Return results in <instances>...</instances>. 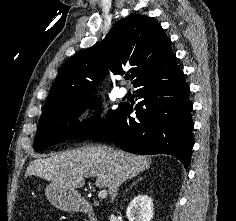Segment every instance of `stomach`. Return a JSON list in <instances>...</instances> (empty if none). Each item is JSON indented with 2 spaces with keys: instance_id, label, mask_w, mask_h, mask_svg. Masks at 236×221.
<instances>
[{
  "instance_id": "1",
  "label": "stomach",
  "mask_w": 236,
  "mask_h": 221,
  "mask_svg": "<svg viewBox=\"0 0 236 221\" xmlns=\"http://www.w3.org/2000/svg\"><path fill=\"white\" fill-rule=\"evenodd\" d=\"M46 196L51 204L63 211L76 210L82 200L77 191L68 190L53 182L46 187Z\"/></svg>"
}]
</instances>
